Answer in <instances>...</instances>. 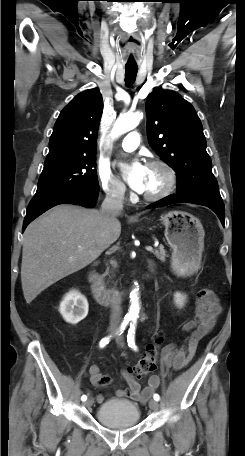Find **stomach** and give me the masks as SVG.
Listing matches in <instances>:
<instances>
[{
  "label": "stomach",
  "instance_id": "stomach-1",
  "mask_svg": "<svg viewBox=\"0 0 245 456\" xmlns=\"http://www.w3.org/2000/svg\"><path fill=\"white\" fill-rule=\"evenodd\" d=\"M165 238L173 250L172 268L178 275L187 276L201 264L205 232L198 218L184 211H170L161 216Z\"/></svg>",
  "mask_w": 245,
  "mask_h": 456
}]
</instances>
